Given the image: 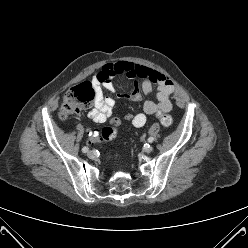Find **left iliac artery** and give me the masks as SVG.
<instances>
[{
  "label": "left iliac artery",
  "instance_id": "44dca946",
  "mask_svg": "<svg viewBox=\"0 0 248 248\" xmlns=\"http://www.w3.org/2000/svg\"><path fill=\"white\" fill-rule=\"evenodd\" d=\"M153 141H154V138H153V137H149V138H148V142H149V143H152ZM148 146H149V144H148Z\"/></svg>",
  "mask_w": 248,
  "mask_h": 248
}]
</instances>
